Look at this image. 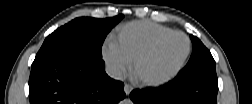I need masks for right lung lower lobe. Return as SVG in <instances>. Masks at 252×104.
I'll use <instances>...</instances> for the list:
<instances>
[{"mask_svg": "<svg viewBox=\"0 0 252 104\" xmlns=\"http://www.w3.org/2000/svg\"><path fill=\"white\" fill-rule=\"evenodd\" d=\"M123 88L105 73L102 59L67 51L34 60L29 98L31 104H117Z\"/></svg>", "mask_w": 252, "mask_h": 104, "instance_id": "right-lung-lower-lobe-1", "label": "right lung lower lobe"}]
</instances>
